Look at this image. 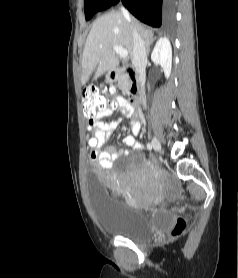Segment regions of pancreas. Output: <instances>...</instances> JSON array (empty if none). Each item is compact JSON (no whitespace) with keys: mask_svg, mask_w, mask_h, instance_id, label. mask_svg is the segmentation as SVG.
<instances>
[{"mask_svg":"<svg viewBox=\"0 0 238 278\" xmlns=\"http://www.w3.org/2000/svg\"><path fill=\"white\" fill-rule=\"evenodd\" d=\"M118 86L122 90H127L130 86L129 76L127 74L122 75L118 81Z\"/></svg>","mask_w":238,"mask_h":278,"instance_id":"obj_1","label":"pancreas"}]
</instances>
